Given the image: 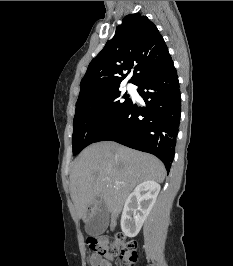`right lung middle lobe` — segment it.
Segmentation results:
<instances>
[{
  "label": "right lung middle lobe",
  "mask_w": 233,
  "mask_h": 266,
  "mask_svg": "<svg viewBox=\"0 0 233 266\" xmlns=\"http://www.w3.org/2000/svg\"><path fill=\"white\" fill-rule=\"evenodd\" d=\"M131 103L132 100L127 95L121 97L119 88L78 100L72 136L73 154H78L83 148L95 142Z\"/></svg>",
  "instance_id": "1"
}]
</instances>
